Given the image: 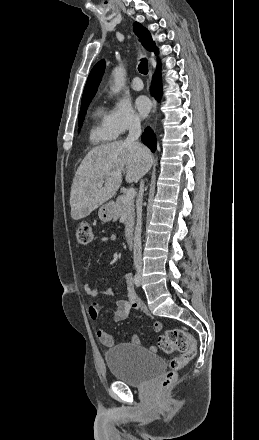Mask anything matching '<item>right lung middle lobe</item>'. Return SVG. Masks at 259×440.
Returning a JSON list of instances; mask_svg holds the SVG:
<instances>
[{"instance_id": "obj_1", "label": "right lung middle lobe", "mask_w": 259, "mask_h": 440, "mask_svg": "<svg viewBox=\"0 0 259 440\" xmlns=\"http://www.w3.org/2000/svg\"><path fill=\"white\" fill-rule=\"evenodd\" d=\"M91 100H92V98L82 100V103H81V109H80V113H79V116H78V124H79V127H81V125H82V123H83V120H84V116H85V113H86L87 107H88V105L90 104Z\"/></svg>"}]
</instances>
